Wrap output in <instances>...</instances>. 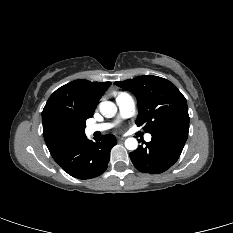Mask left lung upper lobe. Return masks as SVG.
I'll return each mask as SVG.
<instances>
[{"instance_id":"5c2ea615","label":"left lung upper lobe","mask_w":233,"mask_h":233,"mask_svg":"<svg viewBox=\"0 0 233 233\" xmlns=\"http://www.w3.org/2000/svg\"><path fill=\"white\" fill-rule=\"evenodd\" d=\"M115 84L136 96L139 110L136 124H145L146 132L153 135L176 129L189 130L186 99L169 80L145 75Z\"/></svg>"}]
</instances>
